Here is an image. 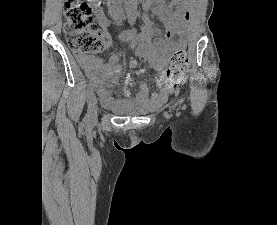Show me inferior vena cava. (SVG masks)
Wrapping results in <instances>:
<instances>
[{
    "instance_id": "602c4592",
    "label": "inferior vena cava",
    "mask_w": 277,
    "mask_h": 225,
    "mask_svg": "<svg viewBox=\"0 0 277 225\" xmlns=\"http://www.w3.org/2000/svg\"><path fill=\"white\" fill-rule=\"evenodd\" d=\"M122 0H108L109 7L114 8L116 5L121 4Z\"/></svg>"
}]
</instances>
